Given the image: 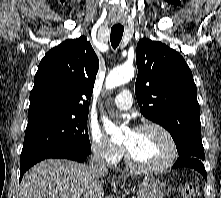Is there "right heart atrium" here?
Returning <instances> with one entry per match:
<instances>
[{
	"mask_svg": "<svg viewBox=\"0 0 221 198\" xmlns=\"http://www.w3.org/2000/svg\"><path fill=\"white\" fill-rule=\"evenodd\" d=\"M90 147L94 156L108 165L117 164L122 157V149L110 142L100 131L89 132Z\"/></svg>",
	"mask_w": 221,
	"mask_h": 198,
	"instance_id": "d8ad5b80",
	"label": "right heart atrium"
}]
</instances>
